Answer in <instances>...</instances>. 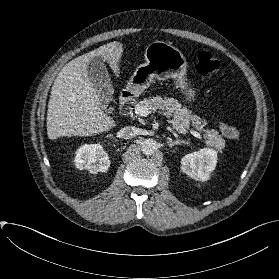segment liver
<instances>
[{"mask_svg": "<svg viewBox=\"0 0 279 279\" xmlns=\"http://www.w3.org/2000/svg\"><path fill=\"white\" fill-rule=\"evenodd\" d=\"M122 53L123 45L114 41L71 60L63 67L53 83L48 104L47 135L50 140L62 136L96 135L118 124L101 109L87 68L93 57L101 56L114 73H119Z\"/></svg>", "mask_w": 279, "mask_h": 279, "instance_id": "obj_1", "label": "liver"}]
</instances>
